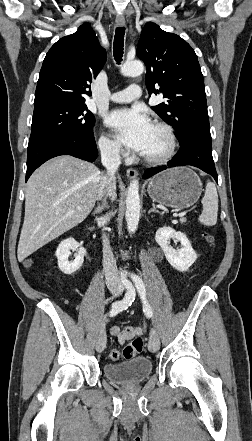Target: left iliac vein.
Segmentation results:
<instances>
[{"mask_svg": "<svg viewBox=\"0 0 252 441\" xmlns=\"http://www.w3.org/2000/svg\"><path fill=\"white\" fill-rule=\"evenodd\" d=\"M159 346H160V340H159L158 334L155 330H151L150 340L148 343V349L150 352L154 353V352L158 351Z\"/></svg>", "mask_w": 252, "mask_h": 441, "instance_id": "obj_1", "label": "left iliac vein"}]
</instances>
